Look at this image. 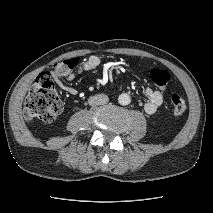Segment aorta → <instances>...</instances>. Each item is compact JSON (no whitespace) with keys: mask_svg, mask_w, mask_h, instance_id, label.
Returning <instances> with one entry per match:
<instances>
[{"mask_svg":"<svg viewBox=\"0 0 213 213\" xmlns=\"http://www.w3.org/2000/svg\"><path fill=\"white\" fill-rule=\"evenodd\" d=\"M118 102H119L121 105L125 106V105L130 104L131 98H130V96H129L127 93H122V94H120L119 97H118Z\"/></svg>","mask_w":213,"mask_h":213,"instance_id":"762f6f07","label":"aorta"}]
</instances>
